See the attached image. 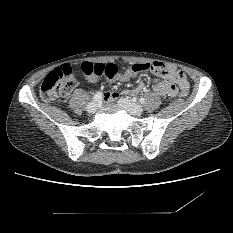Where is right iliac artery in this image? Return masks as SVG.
<instances>
[{
    "label": "right iliac artery",
    "mask_w": 233,
    "mask_h": 233,
    "mask_svg": "<svg viewBox=\"0 0 233 233\" xmlns=\"http://www.w3.org/2000/svg\"><path fill=\"white\" fill-rule=\"evenodd\" d=\"M102 99V93L101 92H97L94 96H93V100L95 102H99Z\"/></svg>",
    "instance_id": "1"
}]
</instances>
